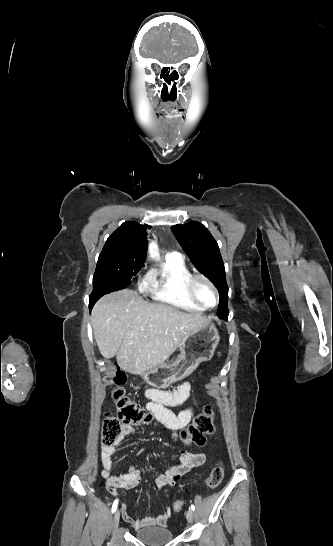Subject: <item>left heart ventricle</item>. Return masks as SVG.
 Instances as JSON below:
<instances>
[{"mask_svg": "<svg viewBox=\"0 0 333 546\" xmlns=\"http://www.w3.org/2000/svg\"><path fill=\"white\" fill-rule=\"evenodd\" d=\"M194 292L197 297L207 306H213L216 301L213 289L201 280L194 283Z\"/></svg>", "mask_w": 333, "mask_h": 546, "instance_id": "b2bd125f", "label": "left heart ventricle"}]
</instances>
